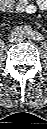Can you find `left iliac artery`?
I'll use <instances>...</instances> for the list:
<instances>
[{
  "mask_svg": "<svg viewBox=\"0 0 47 129\" xmlns=\"http://www.w3.org/2000/svg\"><path fill=\"white\" fill-rule=\"evenodd\" d=\"M31 37L36 41L43 39V35L38 32H31Z\"/></svg>",
  "mask_w": 47,
  "mask_h": 129,
  "instance_id": "obj_1",
  "label": "left iliac artery"
}]
</instances>
